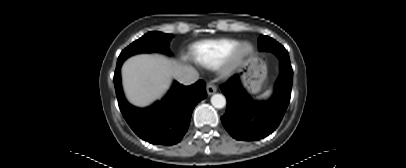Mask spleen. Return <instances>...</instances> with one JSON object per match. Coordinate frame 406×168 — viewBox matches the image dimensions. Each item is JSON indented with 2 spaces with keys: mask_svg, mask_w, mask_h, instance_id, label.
<instances>
[{
  "mask_svg": "<svg viewBox=\"0 0 406 168\" xmlns=\"http://www.w3.org/2000/svg\"><path fill=\"white\" fill-rule=\"evenodd\" d=\"M271 95V90L266 91L264 94L261 96L257 97L258 99H266Z\"/></svg>",
  "mask_w": 406,
  "mask_h": 168,
  "instance_id": "1",
  "label": "spleen"
}]
</instances>
